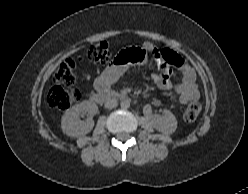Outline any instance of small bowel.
<instances>
[{
  "label": "small bowel",
  "instance_id": "1",
  "mask_svg": "<svg viewBox=\"0 0 248 194\" xmlns=\"http://www.w3.org/2000/svg\"><path fill=\"white\" fill-rule=\"evenodd\" d=\"M141 55L134 61L137 64H144L146 62L145 53L153 56L154 50H157L153 44L145 42L142 44ZM119 54L96 79L94 82L95 89L98 92L107 91L113 83L124 72L128 63L122 60L123 54ZM172 66H175L180 70V81L178 84L173 85L171 81ZM153 82L156 86L162 90L175 89L178 94L179 102L182 105L188 104L193 100L199 98V91L195 84V75L193 69L188 63L176 52H171L170 57L166 60H162V63L158 64V72L151 75ZM157 106L158 101L153 103Z\"/></svg>",
  "mask_w": 248,
  "mask_h": 194
}]
</instances>
